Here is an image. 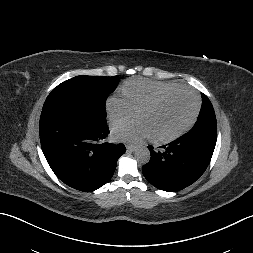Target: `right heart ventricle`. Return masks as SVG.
<instances>
[{
	"label": "right heart ventricle",
	"mask_w": 253,
	"mask_h": 253,
	"mask_svg": "<svg viewBox=\"0 0 253 253\" xmlns=\"http://www.w3.org/2000/svg\"><path fill=\"white\" fill-rule=\"evenodd\" d=\"M176 86H178V84L171 82L132 79L122 86L121 92L123 98L132 109L137 112L142 105L147 103L154 96Z\"/></svg>",
	"instance_id": "e07e8e85"
}]
</instances>
